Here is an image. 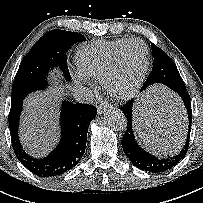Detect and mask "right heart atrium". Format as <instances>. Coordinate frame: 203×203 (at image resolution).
I'll list each match as a JSON object with an SVG mask.
<instances>
[{
    "instance_id": "obj_1",
    "label": "right heart atrium",
    "mask_w": 203,
    "mask_h": 203,
    "mask_svg": "<svg viewBox=\"0 0 203 203\" xmlns=\"http://www.w3.org/2000/svg\"><path fill=\"white\" fill-rule=\"evenodd\" d=\"M75 80L79 84H88L89 83L88 78L84 74H82L80 71H77L75 73Z\"/></svg>"
}]
</instances>
